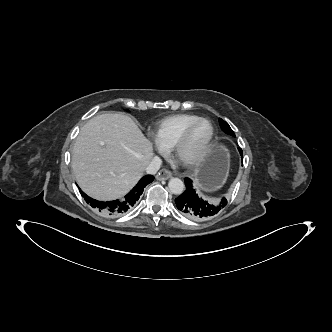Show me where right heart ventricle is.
Masks as SVG:
<instances>
[{"label":"right heart ventricle","instance_id":"1","mask_svg":"<svg viewBox=\"0 0 332 332\" xmlns=\"http://www.w3.org/2000/svg\"><path fill=\"white\" fill-rule=\"evenodd\" d=\"M193 114H177L159 121L153 128L155 140L166 150L172 149L184 129L196 119Z\"/></svg>","mask_w":332,"mask_h":332}]
</instances>
